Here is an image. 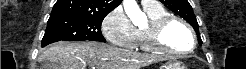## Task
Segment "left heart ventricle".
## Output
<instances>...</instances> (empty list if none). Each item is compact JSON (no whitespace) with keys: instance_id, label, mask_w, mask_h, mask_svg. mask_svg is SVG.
<instances>
[{"instance_id":"b2bd125f","label":"left heart ventricle","mask_w":246,"mask_h":69,"mask_svg":"<svg viewBox=\"0 0 246 69\" xmlns=\"http://www.w3.org/2000/svg\"><path fill=\"white\" fill-rule=\"evenodd\" d=\"M163 39L169 46L175 49L183 48L191 41L189 32L179 22H173L172 25L168 26Z\"/></svg>"}]
</instances>
